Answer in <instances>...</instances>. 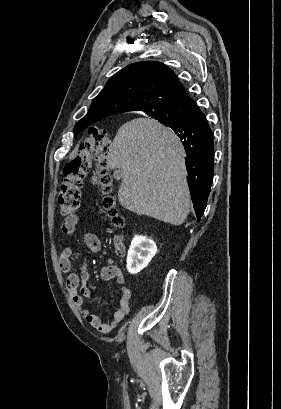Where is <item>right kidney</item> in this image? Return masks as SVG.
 Here are the masks:
<instances>
[{"mask_svg":"<svg viewBox=\"0 0 281 409\" xmlns=\"http://www.w3.org/2000/svg\"><path fill=\"white\" fill-rule=\"evenodd\" d=\"M157 253L156 243L143 235H135L131 241L130 249L127 255V271L131 275L140 273L147 267Z\"/></svg>","mask_w":281,"mask_h":409,"instance_id":"obj_1","label":"right kidney"}]
</instances>
